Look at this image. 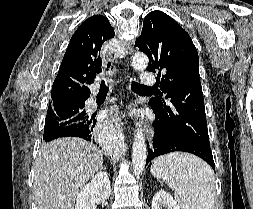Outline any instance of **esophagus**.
Wrapping results in <instances>:
<instances>
[{"label": "esophagus", "instance_id": "obj_1", "mask_svg": "<svg viewBox=\"0 0 253 209\" xmlns=\"http://www.w3.org/2000/svg\"><path fill=\"white\" fill-rule=\"evenodd\" d=\"M128 78V76L126 77ZM106 124L113 129H119L121 126V120L118 116V107L116 104L111 105L110 107V115L106 121Z\"/></svg>", "mask_w": 253, "mask_h": 209}]
</instances>
